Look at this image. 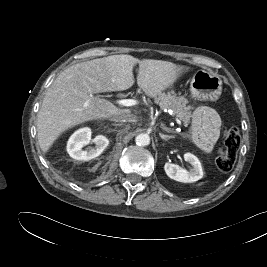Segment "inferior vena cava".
<instances>
[{
  "label": "inferior vena cava",
  "instance_id": "1",
  "mask_svg": "<svg viewBox=\"0 0 267 267\" xmlns=\"http://www.w3.org/2000/svg\"><path fill=\"white\" fill-rule=\"evenodd\" d=\"M112 120L116 122H136L137 117L132 113H122L120 115L112 117Z\"/></svg>",
  "mask_w": 267,
  "mask_h": 267
}]
</instances>
